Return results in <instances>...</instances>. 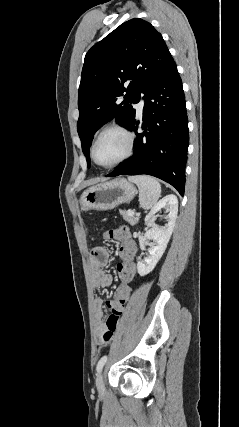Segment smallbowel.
I'll return each mask as SVG.
<instances>
[{
  "mask_svg": "<svg viewBox=\"0 0 239 427\" xmlns=\"http://www.w3.org/2000/svg\"><path fill=\"white\" fill-rule=\"evenodd\" d=\"M110 252L111 250L105 246L94 247L90 252L89 262L91 267L92 282L96 288H107L112 285L113 277L111 274L105 271ZM124 300L127 301L128 298H124ZM105 306L109 307L103 298L95 297L94 315L96 319V328L99 333H101L105 328L103 322Z\"/></svg>",
  "mask_w": 239,
  "mask_h": 427,
  "instance_id": "1",
  "label": "small bowel"
}]
</instances>
